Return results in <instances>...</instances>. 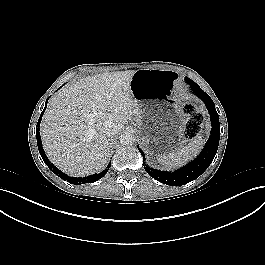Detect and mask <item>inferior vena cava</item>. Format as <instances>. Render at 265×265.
Segmentation results:
<instances>
[{
  "mask_svg": "<svg viewBox=\"0 0 265 265\" xmlns=\"http://www.w3.org/2000/svg\"><path fill=\"white\" fill-rule=\"evenodd\" d=\"M101 133L106 137L113 136L117 133L116 128L112 122H105L102 125Z\"/></svg>",
  "mask_w": 265,
  "mask_h": 265,
  "instance_id": "602c4592",
  "label": "inferior vena cava"
}]
</instances>
